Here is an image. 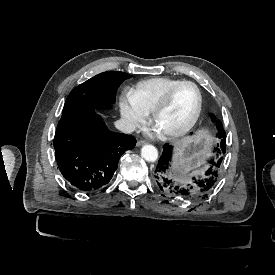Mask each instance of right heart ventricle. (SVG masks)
Returning <instances> with one entry per match:
<instances>
[{"mask_svg": "<svg viewBox=\"0 0 275 275\" xmlns=\"http://www.w3.org/2000/svg\"><path fill=\"white\" fill-rule=\"evenodd\" d=\"M176 81L169 77L151 78L138 83L133 92L137 101L148 112H152L165 91Z\"/></svg>", "mask_w": 275, "mask_h": 275, "instance_id": "e07e8e85", "label": "right heart ventricle"}]
</instances>
